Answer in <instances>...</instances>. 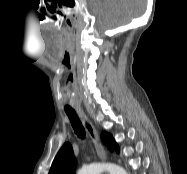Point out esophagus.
<instances>
[{"instance_id":"34e87169","label":"esophagus","mask_w":187,"mask_h":174,"mask_svg":"<svg viewBox=\"0 0 187 174\" xmlns=\"http://www.w3.org/2000/svg\"><path fill=\"white\" fill-rule=\"evenodd\" d=\"M77 114L86 132L88 133L89 137L91 138L95 146V150H96L98 157L102 161H105L107 159V151L101 142V139H100V136L97 130L95 129V127L93 126V124L91 123V121L88 119L87 115L84 113V111L81 108L77 109Z\"/></svg>"}]
</instances>
